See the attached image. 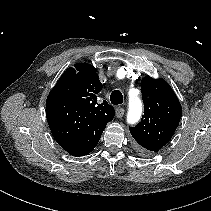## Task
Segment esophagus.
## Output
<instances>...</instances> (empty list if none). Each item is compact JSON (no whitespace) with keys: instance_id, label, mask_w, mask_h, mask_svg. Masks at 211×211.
<instances>
[{"instance_id":"34e87169","label":"esophagus","mask_w":211,"mask_h":211,"mask_svg":"<svg viewBox=\"0 0 211 211\" xmlns=\"http://www.w3.org/2000/svg\"><path fill=\"white\" fill-rule=\"evenodd\" d=\"M124 113H125V110L122 107L116 108V117L117 118H122Z\"/></svg>"}]
</instances>
